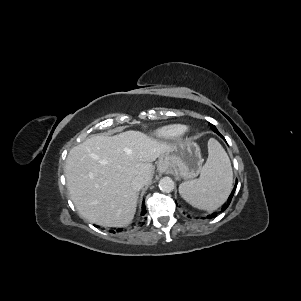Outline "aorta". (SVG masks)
<instances>
[{
    "label": "aorta",
    "mask_w": 301,
    "mask_h": 301,
    "mask_svg": "<svg viewBox=\"0 0 301 301\" xmlns=\"http://www.w3.org/2000/svg\"><path fill=\"white\" fill-rule=\"evenodd\" d=\"M159 188L163 192L170 193L175 188L174 181L170 177H163L159 181Z\"/></svg>",
    "instance_id": "aorta-1"
}]
</instances>
